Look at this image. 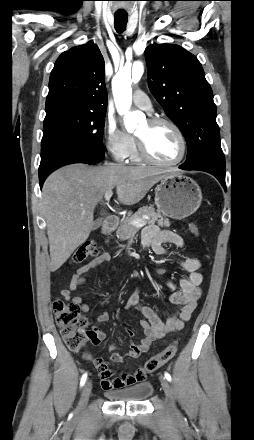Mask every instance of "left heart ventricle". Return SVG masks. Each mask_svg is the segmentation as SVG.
I'll list each match as a JSON object with an SVG mask.
<instances>
[{
	"label": "left heart ventricle",
	"mask_w": 254,
	"mask_h": 440,
	"mask_svg": "<svg viewBox=\"0 0 254 440\" xmlns=\"http://www.w3.org/2000/svg\"><path fill=\"white\" fill-rule=\"evenodd\" d=\"M143 138L150 153L162 162L175 161L181 152V143L176 132L168 125L151 126L144 122L136 131Z\"/></svg>",
	"instance_id": "1"
}]
</instances>
